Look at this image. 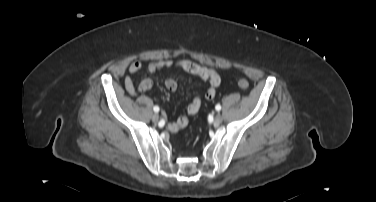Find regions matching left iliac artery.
Wrapping results in <instances>:
<instances>
[{"label":"left iliac artery","instance_id":"1","mask_svg":"<svg viewBox=\"0 0 376 202\" xmlns=\"http://www.w3.org/2000/svg\"><path fill=\"white\" fill-rule=\"evenodd\" d=\"M215 109H216L217 111H220V110H221V105H220V104H217V105L215 106Z\"/></svg>","mask_w":376,"mask_h":202}]
</instances>
